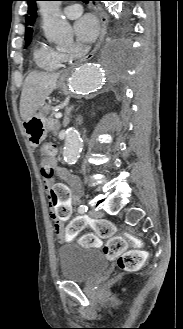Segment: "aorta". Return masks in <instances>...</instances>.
I'll list each match as a JSON object with an SVG mask.
<instances>
[{"instance_id": "aorta-1", "label": "aorta", "mask_w": 183, "mask_h": 329, "mask_svg": "<svg viewBox=\"0 0 183 329\" xmlns=\"http://www.w3.org/2000/svg\"><path fill=\"white\" fill-rule=\"evenodd\" d=\"M60 4L61 1L39 2L43 17V30L48 40L59 47L68 48L73 42V34L70 24L62 18ZM107 6L115 16L122 11V2L109 1ZM106 66L104 59L80 66L71 75L70 88L77 92H96L102 86ZM81 147L82 141L78 131L74 128H68L63 150L64 160L68 164H74L80 155Z\"/></svg>"}]
</instances>
